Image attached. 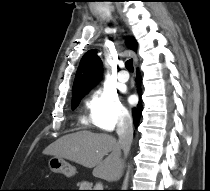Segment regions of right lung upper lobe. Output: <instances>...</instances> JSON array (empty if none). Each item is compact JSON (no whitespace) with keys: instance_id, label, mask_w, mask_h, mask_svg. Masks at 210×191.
<instances>
[{"instance_id":"1","label":"right lung upper lobe","mask_w":210,"mask_h":191,"mask_svg":"<svg viewBox=\"0 0 210 191\" xmlns=\"http://www.w3.org/2000/svg\"><path fill=\"white\" fill-rule=\"evenodd\" d=\"M127 46L136 51L137 43L134 39H127ZM102 76V61L96 50H90L82 57L78 67L73 88L72 99L86 94Z\"/></svg>"}]
</instances>
